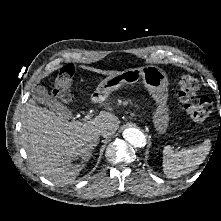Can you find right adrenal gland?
<instances>
[{"instance_id":"obj_1","label":"right adrenal gland","mask_w":221,"mask_h":221,"mask_svg":"<svg viewBox=\"0 0 221 221\" xmlns=\"http://www.w3.org/2000/svg\"><path fill=\"white\" fill-rule=\"evenodd\" d=\"M91 155H92V151L90 152L89 156H91Z\"/></svg>"}]
</instances>
